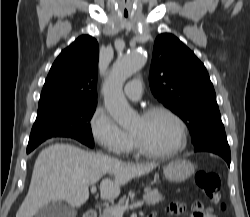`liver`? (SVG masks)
Returning <instances> with one entry per match:
<instances>
[{
    "instance_id": "6515ba94",
    "label": "liver",
    "mask_w": 250,
    "mask_h": 217,
    "mask_svg": "<svg viewBox=\"0 0 250 217\" xmlns=\"http://www.w3.org/2000/svg\"><path fill=\"white\" fill-rule=\"evenodd\" d=\"M154 168L87 152L70 144H53L39 153L29 191L16 217H33L51 202L64 201L78 208L88 200L89 186L106 174L113 178L101 181L100 196L104 200L114 199L119 196L121 186Z\"/></svg>"
}]
</instances>
